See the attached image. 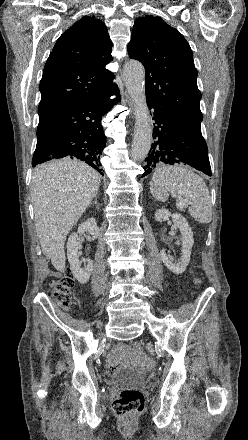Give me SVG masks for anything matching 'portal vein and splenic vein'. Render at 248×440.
<instances>
[{
    "mask_svg": "<svg viewBox=\"0 0 248 440\" xmlns=\"http://www.w3.org/2000/svg\"><path fill=\"white\" fill-rule=\"evenodd\" d=\"M177 206H179V207H184V206H186V201L178 202V203H177Z\"/></svg>",
    "mask_w": 248,
    "mask_h": 440,
    "instance_id": "portal-vein-and-splenic-vein-1",
    "label": "portal vein and splenic vein"
}]
</instances>
